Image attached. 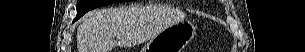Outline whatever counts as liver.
Masks as SVG:
<instances>
[{
  "label": "liver",
  "instance_id": "6515ba94",
  "mask_svg": "<svg viewBox=\"0 0 305 52\" xmlns=\"http://www.w3.org/2000/svg\"><path fill=\"white\" fill-rule=\"evenodd\" d=\"M183 16V13L178 12L177 16L168 20V25L164 28L151 30V26L147 24L145 9L138 6L93 11L78 26V52H110L118 45L150 40Z\"/></svg>",
  "mask_w": 305,
  "mask_h": 52
}]
</instances>
